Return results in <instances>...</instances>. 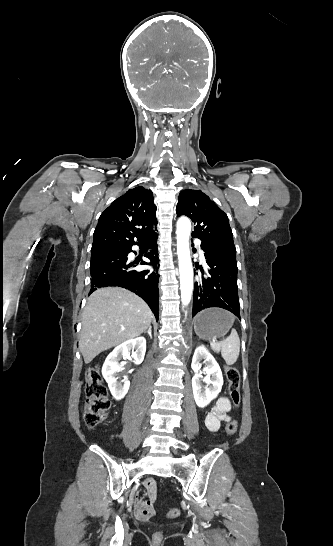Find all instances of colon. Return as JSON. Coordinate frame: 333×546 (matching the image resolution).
Instances as JSON below:
<instances>
[{"label":"colon","instance_id":"obj_1","mask_svg":"<svg viewBox=\"0 0 333 546\" xmlns=\"http://www.w3.org/2000/svg\"><path fill=\"white\" fill-rule=\"evenodd\" d=\"M225 376L230 401L234 407H238L241 402L239 371L236 367L226 366ZM85 393L84 421L88 428H95L104 420L110 407L107 388L101 377L99 367H92L86 372ZM237 427V422L232 420L226 424L225 431L228 435H233L237 431ZM180 514L181 511L179 508H173L167 512V517L177 518ZM161 537V533L155 534L156 539H160Z\"/></svg>","mask_w":333,"mask_h":546}]
</instances>
